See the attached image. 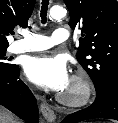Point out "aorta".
Returning <instances> with one entry per match:
<instances>
[{
	"mask_svg": "<svg viewBox=\"0 0 118 123\" xmlns=\"http://www.w3.org/2000/svg\"><path fill=\"white\" fill-rule=\"evenodd\" d=\"M50 19H62L66 16V9L61 6H53L50 9Z\"/></svg>",
	"mask_w": 118,
	"mask_h": 123,
	"instance_id": "obj_1",
	"label": "aorta"
}]
</instances>
